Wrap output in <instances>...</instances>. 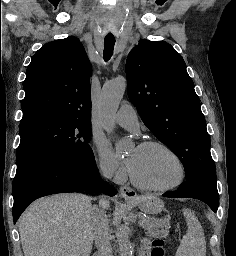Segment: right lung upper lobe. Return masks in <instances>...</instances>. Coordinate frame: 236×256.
Masks as SVG:
<instances>
[{
	"instance_id": "1",
	"label": "right lung upper lobe",
	"mask_w": 236,
	"mask_h": 256,
	"mask_svg": "<svg viewBox=\"0 0 236 256\" xmlns=\"http://www.w3.org/2000/svg\"><path fill=\"white\" fill-rule=\"evenodd\" d=\"M91 71L78 38L71 36L45 44L26 71L22 119L53 114L91 121Z\"/></svg>"
}]
</instances>
